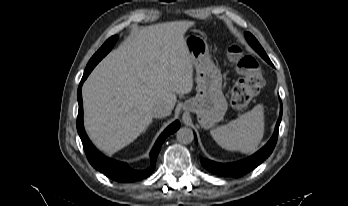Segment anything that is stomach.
<instances>
[{"mask_svg": "<svg viewBox=\"0 0 348 206\" xmlns=\"http://www.w3.org/2000/svg\"><path fill=\"white\" fill-rule=\"evenodd\" d=\"M184 42L193 58L197 82V94L188 103V109L197 114L202 126L211 127L223 118L227 110V102L221 90L222 76L210 59L205 40L191 35Z\"/></svg>", "mask_w": 348, "mask_h": 206, "instance_id": "0dacf381", "label": "stomach"}]
</instances>
